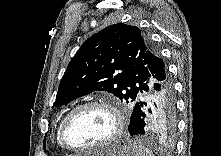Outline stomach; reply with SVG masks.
I'll return each instance as SVG.
<instances>
[{"instance_id": "0dacf381", "label": "stomach", "mask_w": 221, "mask_h": 156, "mask_svg": "<svg viewBox=\"0 0 221 156\" xmlns=\"http://www.w3.org/2000/svg\"><path fill=\"white\" fill-rule=\"evenodd\" d=\"M89 156H133V151L131 150L129 141L120 140L97 149Z\"/></svg>"}]
</instances>
